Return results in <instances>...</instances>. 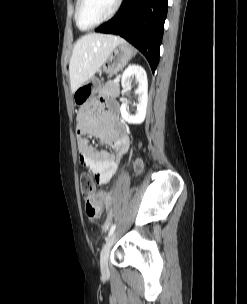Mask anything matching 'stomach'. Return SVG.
<instances>
[{"label":"stomach","mask_w":247,"mask_h":304,"mask_svg":"<svg viewBox=\"0 0 247 304\" xmlns=\"http://www.w3.org/2000/svg\"><path fill=\"white\" fill-rule=\"evenodd\" d=\"M134 48L128 43L119 44L111 52L107 60L102 66V71L112 76L117 74L134 55ZM97 84L86 82L73 93L74 102L77 105L86 104L96 93Z\"/></svg>","instance_id":"0dacf381"}]
</instances>
